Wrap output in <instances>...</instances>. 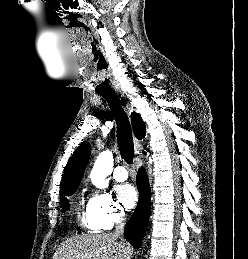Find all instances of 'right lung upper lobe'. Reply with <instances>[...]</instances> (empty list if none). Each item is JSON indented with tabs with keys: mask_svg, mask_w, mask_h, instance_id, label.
Instances as JSON below:
<instances>
[{
	"mask_svg": "<svg viewBox=\"0 0 248 259\" xmlns=\"http://www.w3.org/2000/svg\"><path fill=\"white\" fill-rule=\"evenodd\" d=\"M131 121L135 136L142 139L145 136V124L138 113L131 114ZM91 147L88 142H82L72 154L60 184V194L64 191L77 189L80 184L85 167L89 160Z\"/></svg>",
	"mask_w": 248,
	"mask_h": 259,
	"instance_id": "1",
	"label": "right lung upper lobe"
}]
</instances>
